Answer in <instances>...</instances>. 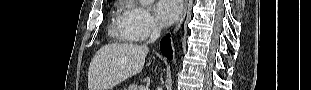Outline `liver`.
<instances>
[{"label":"liver","mask_w":311,"mask_h":90,"mask_svg":"<svg viewBox=\"0 0 311 90\" xmlns=\"http://www.w3.org/2000/svg\"><path fill=\"white\" fill-rule=\"evenodd\" d=\"M149 48L146 45L112 43L100 48L88 69L89 90H110L139 74Z\"/></svg>","instance_id":"1"}]
</instances>
